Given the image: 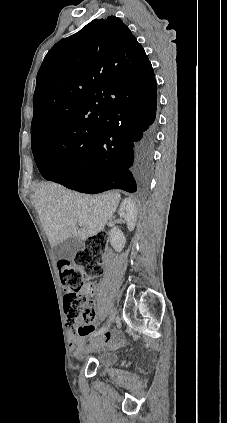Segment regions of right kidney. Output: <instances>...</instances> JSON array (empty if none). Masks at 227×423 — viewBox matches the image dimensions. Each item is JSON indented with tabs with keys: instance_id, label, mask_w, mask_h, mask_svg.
Returning <instances> with one entry per match:
<instances>
[{
	"instance_id": "ca27d5eb",
	"label": "right kidney",
	"mask_w": 227,
	"mask_h": 423,
	"mask_svg": "<svg viewBox=\"0 0 227 423\" xmlns=\"http://www.w3.org/2000/svg\"><path fill=\"white\" fill-rule=\"evenodd\" d=\"M118 213L120 217H123V219H125L129 231H133L136 225L138 215L137 206L134 200H131V198H126V200L122 202ZM109 239L115 251H122L126 243V237L123 231L119 229V227H112V229H110Z\"/></svg>"
}]
</instances>
